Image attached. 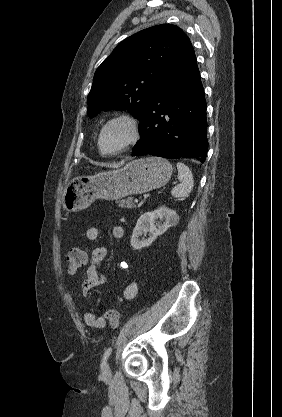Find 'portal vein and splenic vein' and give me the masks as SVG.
<instances>
[{
	"mask_svg": "<svg viewBox=\"0 0 282 417\" xmlns=\"http://www.w3.org/2000/svg\"><path fill=\"white\" fill-rule=\"evenodd\" d=\"M134 202H135V203H139V202H140V199H139V198H135V199H134Z\"/></svg>",
	"mask_w": 282,
	"mask_h": 417,
	"instance_id": "obj_1",
	"label": "portal vein and splenic vein"
}]
</instances>
